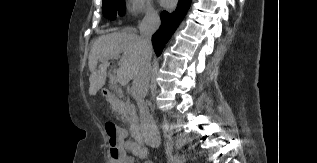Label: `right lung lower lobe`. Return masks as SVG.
Here are the masks:
<instances>
[{
    "mask_svg": "<svg viewBox=\"0 0 317 163\" xmlns=\"http://www.w3.org/2000/svg\"><path fill=\"white\" fill-rule=\"evenodd\" d=\"M190 4L191 0H179L175 11H163L161 13V26L152 37L153 47L157 56L161 54L164 45L167 43L174 31L179 26L180 22L183 20V17L190 7Z\"/></svg>",
    "mask_w": 317,
    "mask_h": 163,
    "instance_id": "obj_1",
    "label": "right lung lower lobe"
}]
</instances>
